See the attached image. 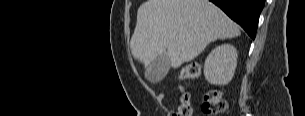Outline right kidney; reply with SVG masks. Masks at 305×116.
Returning <instances> with one entry per match:
<instances>
[{
	"mask_svg": "<svg viewBox=\"0 0 305 116\" xmlns=\"http://www.w3.org/2000/svg\"><path fill=\"white\" fill-rule=\"evenodd\" d=\"M237 57V50L233 45L223 44L216 47L205 60L206 80L211 84H228L234 76Z\"/></svg>",
	"mask_w": 305,
	"mask_h": 116,
	"instance_id": "obj_1",
	"label": "right kidney"
}]
</instances>
